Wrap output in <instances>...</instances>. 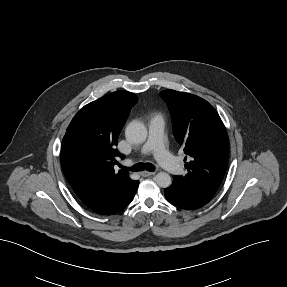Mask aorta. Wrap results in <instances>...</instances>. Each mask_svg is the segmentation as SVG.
Here are the masks:
<instances>
[{
	"label": "aorta",
	"instance_id": "1",
	"mask_svg": "<svg viewBox=\"0 0 287 287\" xmlns=\"http://www.w3.org/2000/svg\"><path fill=\"white\" fill-rule=\"evenodd\" d=\"M125 135L131 142L141 144L147 138V128L139 121H132L127 125ZM154 180L162 188H167L172 183L170 175L166 172L157 173Z\"/></svg>",
	"mask_w": 287,
	"mask_h": 287
}]
</instances>
